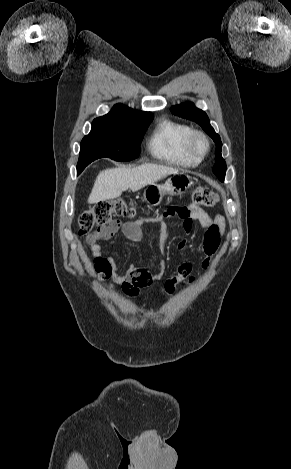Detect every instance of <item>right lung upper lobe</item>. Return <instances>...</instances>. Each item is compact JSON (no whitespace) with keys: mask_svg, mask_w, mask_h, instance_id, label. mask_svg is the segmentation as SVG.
Wrapping results in <instances>:
<instances>
[{"mask_svg":"<svg viewBox=\"0 0 291 469\" xmlns=\"http://www.w3.org/2000/svg\"><path fill=\"white\" fill-rule=\"evenodd\" d=\"M153 116L151 112L136 111L124 106L116 104L111 111L96 119H112V120H136Z\"/></svg>","mask_w":291,"mask_h":469,"instance_id":"1","label":"right lung upper lobe"}]
</instances>
